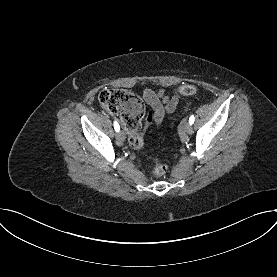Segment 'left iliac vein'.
<instances>
[{
  "label": "left iliac vein",
  "instance_id": "4c4485c4",
  "mask_svg": "<svg viewBox=\"0 0 277 277\" xmlns=\"http://www.w3.org/2000/svg\"><path fill=\"white\" fill-rule=\"evenodd\" d=\"M181 129L186 133H190L192 131V125L188 121H184Z\"/></svg>",
  "mask_w": 277,
  "mask_h": 277
}]
</instances>
